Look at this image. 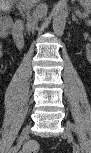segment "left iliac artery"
<instances>
[{
    "label": "left iliac artery",
    "mask_w": 91,
    "mask_h": 153,
    "mask_svg": "<svg viewBox=\"0 0 91 153\" xmlns=\"http://www.w3.org/2000/svg\"><path fill=\"white\" fill-rule=\"evenodd\" d=\"M72 134H73V129H69V143H72L73 149L79 150V143H77V140H74V136H72ZM74 153H77V151H74Z\"/></svg>",
    "instance_id": "1"
}]
</instances>
